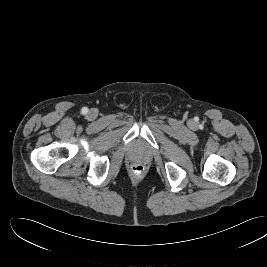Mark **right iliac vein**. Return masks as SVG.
<instances>
[{
  "label": "right iliac vein",
  "mask_w": 267,
  "mask_h": 267,
  "mask_svg": "<svg viewBox=\"0 0 267 267\" xmlns=\"http://www.w3.org/2000/svg\"><path fill=\"white\" fill-rule=\"evenodd\" d=\"M96 116H97V113H96L95 110H90V111L88 112V115H87L88 119H90V120L95 119Z\"/></svg>",
  "instance_id": "obj_1"
}]
</instances>
